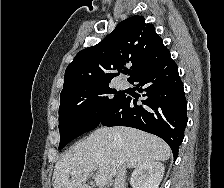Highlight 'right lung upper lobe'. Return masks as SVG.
<instances>
[{"mask_svg": "<svg viewBox=\"0 0 224 188\" xmlns=\"http://www.w3.org/2000/svg\"><path fill=\"white\" fill-rule=\"evenodd\" d=\"M169 52L152 24L141 16L120 22L99 44L81 50L65 71L63 92L109 84L127 65L129 80Z\"/></svg>", "mask_w": 224, "mask_h": 188, "instance_id": "obj_1", "label": "right lung upper lobe"}]
</instances>
